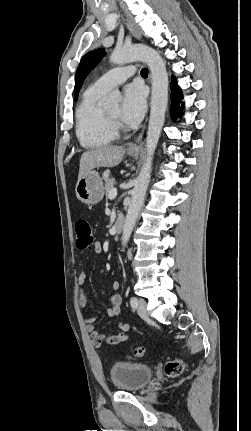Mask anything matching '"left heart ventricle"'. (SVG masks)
<instances>
[{"label":"left heart ventricle","instance_id":"1","mask_svg":"<svg viewBox=\"0 0 251 431\" xmlns=\"http://www.w3.org/2000/svg\"><path fill=\"white\" fill-rule=\"evenodd\" d=\"M109 115H111L114 118L121 119V107L119 105H116L106 111Z\"/></svg>","mask_w":251,"mask_h":431}]
</instances>
